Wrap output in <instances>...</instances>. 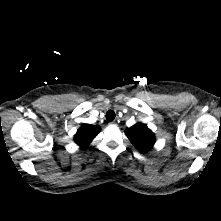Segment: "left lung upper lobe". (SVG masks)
I'll list each match as a JSON object with an SVG mask.
<instances>
[{
    "label": "left lung upper lobe",
    "instance_id": "1",
    "mask_svg": "<svg viewBox=\"0 0 221 221\" xmlns=\"http://www.w3.org/2000/svg\"><path fill=\"white\" fill-rule=\"evenodd\" d=\"M125 133L133 145L141 152H147L155 143L153 132L145 124H135L128 128Z\"/></svg>",
    "mask_w": 221,
    "mask_h": 221
}]
</instances>
